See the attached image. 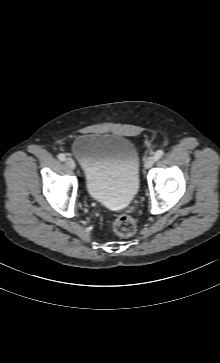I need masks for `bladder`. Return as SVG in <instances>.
<instances>
[{
	"label": "bladder",
	"mask_w": 220,
	"mask_h": 363,
	"mask_svg": "<svg viewBox=\"0 0 220 363\" xmlns=\"http://www.w3.org/2000/svg\"><path fill=\"white\" fill-rule=\"evenodd\" d=\"M72 154L82 167L86 190L93 200L122 209L135 198L140 159L130 139L114 134H84L74 140Z\"/></svg>",
	"instance_id": "obj_1"
}]
</instances>
